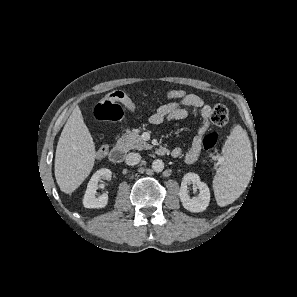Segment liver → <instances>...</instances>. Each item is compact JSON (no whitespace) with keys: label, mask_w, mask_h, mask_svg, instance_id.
<instances>
[{"label":"liver","mask_w":297,"mask_h":297,"mask_svg":"<svg viewBox=\"0 0 297 297\" xmlns=\"http://www.w3.org/2000/svg\"><path fill=\"white\" fill-rule=\"evenodd\" d=\"M95 145L80 108H74L59 137L55 152V178L60 190L74 192L90 174Z\"/></svg>","instance_id":"obj_1"}]
</instances>
